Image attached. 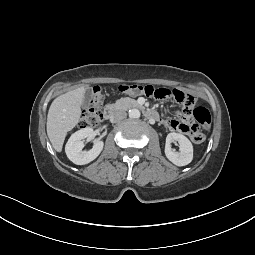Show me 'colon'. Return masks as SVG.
<instances>
[{
  "label": "colon",
  "mask_w": 255,
  "mask_h": 255,
  "mask_svg": "<svg viewBox=\"0 0 255 255\" xmlns=\"http://www.w3.org/2000/svg\"><path fill=\"white\" fill-rule=\"evenodd\" d=\"M118 91L129 95H146L151 98H173L180 103L182 106V114L187 119H194L200 126L204 128H209L211 123V116L208 110L202 107L195 108V98L192 93H183L180 90L170 91L166 88H156L153 86H143L140 84H129L121 85L118 87ZM104 100V95L100 87H96L93 90L92 97L89 105L84 109L81 120V128L96 127L100 124L102 120V115L100 112L102 103ZM180 110L179 108L177 109ZM187 134L190 139L195 143H200L204 140V135L199 131L196 125H191Z\"/></svg>",
  "instance_id": "1"
}]
</instances>
